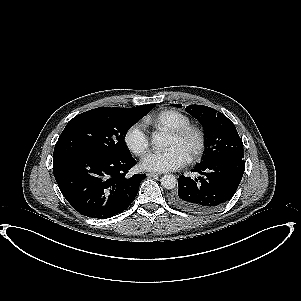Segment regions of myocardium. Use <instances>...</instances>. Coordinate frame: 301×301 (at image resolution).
<instances>
[{
    "instance_id": "f54148a6",
    "label": "myocardium",
    "mask_w": 301,
    "mask_h": 301,
    "mask_svg": "<svg viewBox=\"0 0 301 301\" xmlns=\"http://www.w3.org/2000/svg\"><path fill=\"white\" fill-rule=\"evenodd\" d=\"M166 134L167 136L178 140H185V139L192 140L193 143L191 148L184 155V158L186 160L194 159L203 150L204 135L198 127L188 126L181 129L170 130Z\"/></svg>"
}]
</instances>
